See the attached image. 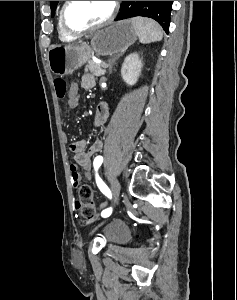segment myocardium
Returning <instances> with one entry per match:
<instances>
[{
  "instance_id": "f54148a6",
  "label": "myocardium",
  "mask_w": 237,
  "mask_h": 300,
  "mask_svg": "<svg viewBox=\"0 0 237 300\" xmlns=\"http://www.w3.org/2000/svg\"><path fill=\"white\" fill-rule=\"evenodd\" d=\"M71 2L72 1H65V3L62 6L61 13H60L61 26H62L63 30L70 36H77V35H81V34L86 33V32L96 31V30H100L102 28L107 27L108 25H110L114 21V19L116 17V14H117V10H118L117 1H112L111 2L112 7H111L110 14L108 15V17L104 21H102V22H100L96 25L87 27V28H83V29H80V30H74L71 27H69L67 22H66V13H67L68 7H69Z\"/></svg>"
}]
</instances>
